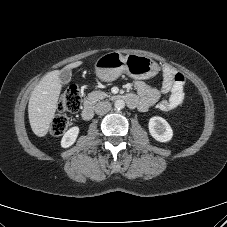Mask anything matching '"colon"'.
Wrapping results in <instances>:
<instances>
[{
    "label": "colon",
    "instance_id": "obj_1",
    "mask_svg": "<svg viewBox=\"0 0 227 227\" xmlns=\"http://www.w3.org/2000/svg\"><path fill=\"white\" fill-rule=\"evenodd\" d=\"M82 95L78 86L72 85L61 96L58 104L59 114L51 123V133L54 135L62 134L68 127L69 119L66 113H76L81 106Z\"/></svg>",
    "mask_w": 227,
    "mask_h": 227
}]
</instances>
